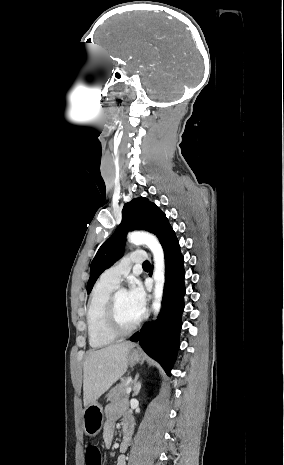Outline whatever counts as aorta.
<instances>
[{
    "instance_id": "1",
    "label": "aorta",
    "mask_w": 284,
    "mask_h": 465,
    "mask_svg": "<svg viewBox=\"0 0 284 465\" xmlns=\"http://www.w3.org/2000/svg\"><path fill=\"white\" fill-rule=\"evenodd\" d=\"M128 241L135 244L146 245L153 254L154 257V272L153 278L155 281L154 287V299L152 302V309L155 318L160 312L162 297H163V289L165 283V259H164V252L161 244L159 243L158 239L147 232H132L128 235Z\"/></svg>"
}]
</instances>
